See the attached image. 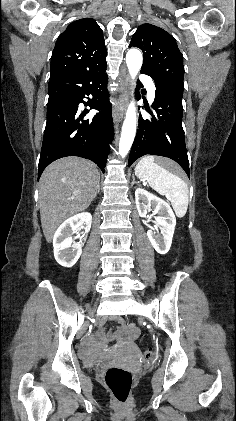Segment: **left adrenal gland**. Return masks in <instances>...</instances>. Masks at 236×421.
<instances>
[{
	"label": "left adrenal gland",
	"instance_id": "1",
	"mask_svg": "<svg viewBox=\"0 0 236 421\" xmlns=\"http://www.w3.org/2000/svg\"><path fill=\"white\" fill-rule=\"evenodd\" d=\"M136 180H135V176L134 174H132V182H131V186H133V184H135ZM138 186H140V184H138Z\"/></svg>",
	"mask_w": 236,
	"mask_h": 421
}]
</instances>
